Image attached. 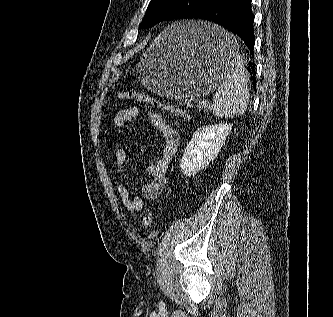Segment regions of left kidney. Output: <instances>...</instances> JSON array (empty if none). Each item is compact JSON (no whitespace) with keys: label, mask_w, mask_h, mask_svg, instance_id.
Returning <instances> with one entry per match:
<instances>
[{"label":"left kidney","mask_w":333,"mask_h":317,"mask_svg":"<svg viewBox=\"0 0 333 317\" xmlns=\"http://www.w3.org/2000/svg\"><path fill=\"white\" fill-rule=\"evenodd\" d=\"M229 124L203 126L195 131L181 159V172L194 176L217 157L231 131Z\"/></svg>","instance_id":"1"}]
</instances>
